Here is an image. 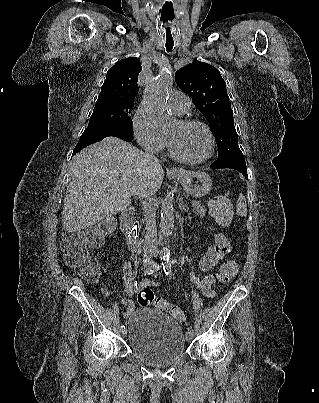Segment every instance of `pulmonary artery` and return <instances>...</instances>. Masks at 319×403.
Segmentation results:
<instances>
[{"instance_id":"pulmonary-artery-1","label":"pulmonary artery","mask_w":319,"mask_h":403,"mask_svg":"<svg viewBox=\"0 0 319 403\" xmlns=\"http://www.w3.org/2000/svg\"><path fill=\"white\" fill-rule=\"evenodd\" d=\"M169 105L174 112L181 115L190 109V99L183 93L173 92L169 98Z\"/></svg>"}]
</instances>
